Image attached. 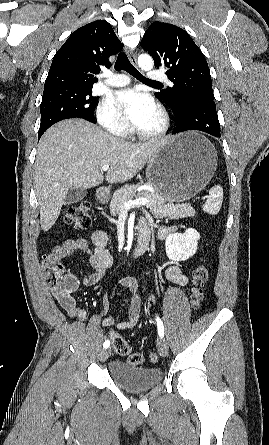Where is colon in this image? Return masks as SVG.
Here are the masks:
<instances>
[{
	"instance_id": "colon-1",
	"label": "colon",
	"mask_w": 269,
	"mask_h": 445,
	"mask_svg": "<svg viewBox=\"0 0 269 445\" xmlns=\"http://www.w3.org/2000/svg\"><path fill=\"white\" fill-rule=\"evenodd\" d=\"M91 207L87 202H81L68 208L64 215V223L73 225L78 229H85L91 225ZM45 283L52 289H57L64 293V301L69 303L68 295L76 289V283L69 278L59 262L53 261L50 256H45L42 264ZM209 278V268L206 263L198 264L192 272L193 287L190 294V303L194 309H198L204 298V286ZM112 347L115 352L122 356H127V361L133 366H138L143 362L140 353L131 352L129 343L119 334H110ZM151 363L159 360L157 353L151 352L148 355Z\"/></svg>"
}]
</instances>
